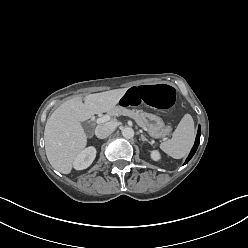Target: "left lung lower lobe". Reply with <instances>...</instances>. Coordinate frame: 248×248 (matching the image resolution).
Masks as SVG:
<instances>
[{
    "mask_svg": "<svg viewBox=\"0 0 248 248\" xmlns=\"http://www.w3.org/2000/svg\"><path fill=\"white\" fill-rule=\"evenodd\" d=\"M199 142H200V127L198 129V133H197V136H196V140H195V144L189 154V156L187 157L186 161H185V164L189 162V160L193 157V155L195 154L197 148H198V145H199Z\"/></svg>",
    "mask_w": 248,
    "mask_h": 248,
    "instance_id": "obj_1",
    "label": "left lung lower lobe"
}]
</instances>
